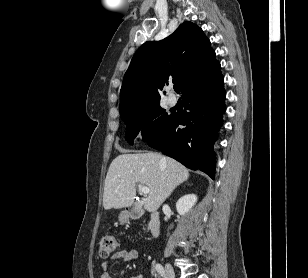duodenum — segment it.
Listing matches in <instances>:
<instances>
[{
  "instance_id": "410a0bca",
  "label": "duodenum",
  "mask_w": 308,
  "mask_h": 278,
  "mask_svg": "<svg viewBox=\"0 0 308 278\" xmlns=\"http://www.w3.org/2000/svg\"><path fill=\"white\" fill-rule=\"evenodd\" d=\"M140 215H141V212L139 210L131 211L132 218H137ZM149 217H150L149 223H148L149 232L153 237H157L160 233V227H161L160 215L158 211L153 210L150 212Z\"/></svg>"
}]
</instances>
